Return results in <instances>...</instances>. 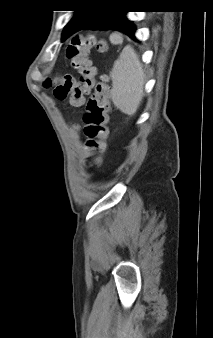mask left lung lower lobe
Returning a JSON list of instances; mask_svg holds the SVG:
<instances>
[{
  "label": "left lung lower lobe",
  "instance_id": "0a47b994",
  "mask_svg": "<svg viewBox=\"0 0 213 338\" xmlns=\"http://www.w3.org/2000/svg\"><path fill=\"white\" fill-rule=\"evenodd\" d=\"M126 12L124 9L85 10L67 29L66 39L82 29H115L136 40L135 26L126 18Z\"/></svg>",
  "mask_w": 213,
  "mask_h": 338
}]
</instances>
